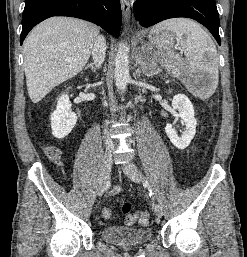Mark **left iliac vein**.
Returning <instances> with one entry per match:
<instances>
[{
	"instance_id": "4c4485c4",
	"label": "left iliac vein",
	"mask_w": 247,
	"mask_h": 257,
	"mask_svg": "<svg viewBox=\"0 0 247 257\" xmlns=\"http://www.w3.org/2000/svg\"><path fill=\"white\" fill-rule=\"evenodd\" d=\"M123 172L130 178L132 181L136 183L142 182V174L138 170V168L133 164H125L121 166ZM153 211L157 217L163 216L162 207L159 204H154Z\"/></svg>"
}]
</instances>
